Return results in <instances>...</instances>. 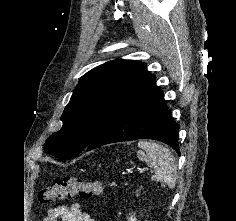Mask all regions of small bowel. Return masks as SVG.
Instances as JSON below:
<instances>
[{
  "mask_svg": "<svg viewBox=\"0 0 236 221\" xmlns=\"http://www.w3.org/2000/svg\"><path fill=\"white\" fill-rule=\"evenodd\" d=\"M43 221H95L78 203L50 207Z\"/></svg>",
  "mask_w": 236,
  "mask_h": 221,
  "instance_id": "1",
  "label": "small bowel"
}]
</instances>
